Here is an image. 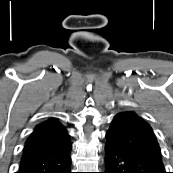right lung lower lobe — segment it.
Returning <instances> with one entry per match:
<instances>
[{"instance_id":"1","label":"right lung lower lobe","mask_w":173,"mask_h":173,"mask_svg":"<svg viewBox=\"0 0 173 173\" xmlns=\"http://www.w3.org/2000/svg\"><path fill=\"white\" fill-rule=\"evenodd\" d=\"M70 143L61 148L22 156L17 173H71Z\"/></svg>"}]
</instances>
